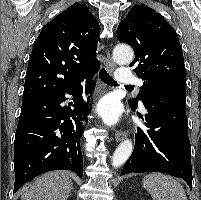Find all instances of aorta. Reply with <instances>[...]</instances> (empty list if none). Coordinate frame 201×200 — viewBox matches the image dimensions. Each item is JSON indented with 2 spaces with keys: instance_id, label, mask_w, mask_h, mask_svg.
Instances as JSON below:
<instances>
[{
  "instance_id": "1",
  "label": "aorta",
  "mask_w": 201,
  "mask_h": 200,
  "mask_svg": "<svg viewBox=\"0 0 201 200\" xmlns=\"http://www.w3.org/2000/svg\"><path fill=\"white\" fill-rule=\"evenodd\" d=\"M113 58L119 64H129L133 61L134 52L127 45H117L113 50ZM133 151L132 141L129 139L124 140L115 150L112 158V166L120 167L130 157Z\"/></svg>"
}]
</instances>
